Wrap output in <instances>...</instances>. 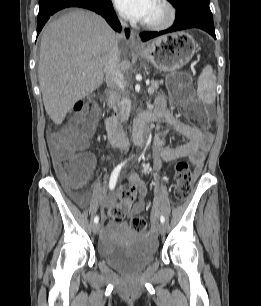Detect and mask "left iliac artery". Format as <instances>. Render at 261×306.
<instances>
[{"instance_id": "left-iliac-artery-1", "label": "left iliac artery", "mask_w": 261, "mask_h": 306, "mask_svg": "<svg viewBox=\"0 0 261 306\" xmlns=\"http://www.w3.org/2000/svg\"><path fill=\"white\" fill-rule=\"evenodd\" d=\"M160 222L164 223L165 222V217L163 215L160 216Z\"/></svg>"}]
</instances>
